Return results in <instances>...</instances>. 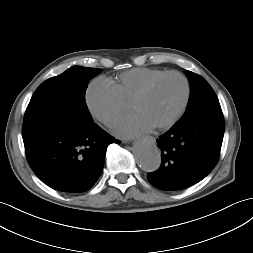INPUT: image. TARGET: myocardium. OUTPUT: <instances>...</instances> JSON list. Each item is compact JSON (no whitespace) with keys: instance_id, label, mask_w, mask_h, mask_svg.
<instances>
[{"instance_id":"1","label":"myocardium","mask_w":253,"mask_h":253,"mask_svg":"<svg viewBox=\"0 0 253 253\" xmlns=\"http://www.w3.org/2000/svg\"><path fill=\"white\" fill-rule=\"evenodd\" d=\"M169 76H177L183 81L184 87H185L184 98H183V101H182V104H181L179 110L169 121H167L163 124L154 126L158 130H166V129L171 128L182 118V116L186 112V109H187L189 101H190V96H191V85H190L189 79L183 73H181L179 71H175V70L166 71V72L156 76L155 78L151 79L148 83H146L133 96V98L130 101V105L132 106L135 102H137L138 100L145 97L158 82H160L162 79L169 77Z\"/></svg>"}]
</instances>
